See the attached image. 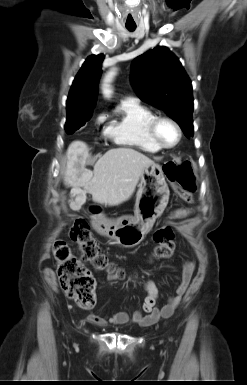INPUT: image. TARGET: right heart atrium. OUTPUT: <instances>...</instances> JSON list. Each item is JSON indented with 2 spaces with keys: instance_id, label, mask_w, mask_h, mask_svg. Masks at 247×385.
Segmentation results:
<instances>
[{
  "instance_id": "1",
  "label": "right heart atrium",
  "mask_w": 247,
  "mask_h": 385,
  "mask_svg": "<svg viewBox=\"0 0 247 385\" xmlns=\"http://www.w3.org/2000/svg\"><path fill=\"white\" fill-rule=\"evenodd\" d=\"M102 119H103V117H102V116H100V117L98 118V120H99V121H102Z\"/></svg>"
}]
</instances>
